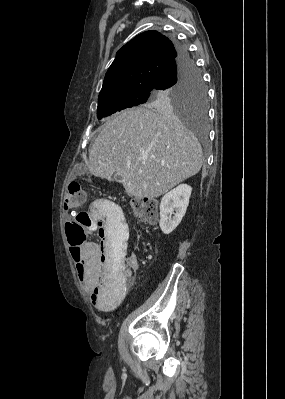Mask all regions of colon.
<instances>
[{
	"label": "colon",
	"instance_id": "colon-1",
	"mask_svg": "<svg viewBox=\"0 0 285 399\" xmlns=\"http://www.w3.org/2000/svg\"><path fill=\"white\" fill-rule=\"evenodd\" d=\"M64 207L72 214V218L65 224L67 239L71 245V249L75 254L79 252V246L84 242H90L92 239L88 238L85 233V227L90 223L91 218L89 214L83 210L84 194L81 185L78 182H71L68 186L67 193L64 197ZM132 211L144 222L155 223L158 219V203L151 198H143L134 200L131 203ZM114 255H116L120 248L118 245L113 246ZM75 272L77 277H81L82 268L76 267ZM118 277L125 278L131 274L129 269L120 268L118 270Z\"/></svg>",
	"mask_w": 285,
	"mask_h": 399
}]
</instances>
